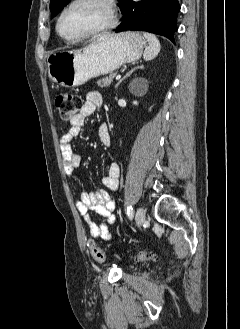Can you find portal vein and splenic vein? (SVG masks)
Here are the masks:
<instances>
[{
	"mask_svg": "<svg viewBox=\"0 0 240 329\" xmlns=\"http://www.w3.org/2000/svg\"><path fill=\"white\" fill-rule=\"evenodd\" d=\"M120 78H121V75L116 76V80H120Z\"/></svg>",
	"mask_w": 240,
	"mask_h": 329,
	"instance_id": "1",
	"label": "portal vein and splenic vein"
}]
</instances>
